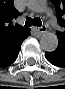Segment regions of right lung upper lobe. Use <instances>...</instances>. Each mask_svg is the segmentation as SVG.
Listing matches in <instances>:
<instances>
[{
	"instance_id": "obj_1",
	"label": "right lung upper lobe",
	"mask_w": 65,
	"mask_h": 89,
	"mask_svg": "<svg viewBox=\"0 0 65 89\" xmlns=\"http://www.w3.org/2000/svg\"><path fill=\"white\" fill-rule=\"evenodd\" d=\"M13 3V0H0V41L18 37L30 30L18 24L13 25L12 21L19 16Z\"/></svg>"
}]
</instances>
